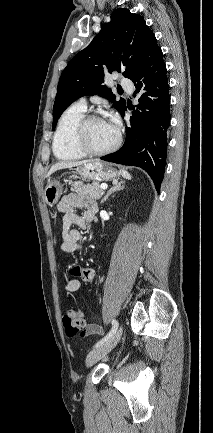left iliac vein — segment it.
<instances>
[{"mask_svg": "<svg viewBox=\"0 0 213 433\" xmlns=\"http://www.w3.org/2000/svg\"><path fill=\"white\" fill-rule=\"evenodd\" d=\"M121 335L122 327L116 330V332L106 342L93 349L86 357V366L91 367L105 357L117 345Z\"/></svg>", "mask_w": 213, "mask_h": 433, "instance_id": "obj_1", "label": "left iliac vein"}]
</instances>
